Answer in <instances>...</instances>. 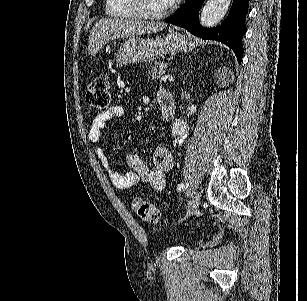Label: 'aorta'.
<instances>
[{"label": "aorta", "instance_id": "obj_1", "mask_svg": "<svg viewBox=\"0 0 307 301\" xmlns=\"http://www.w3.org/2000/svg\"><path fill=\"white\" fill-rule=\"evenodd\" d=\"M230 2L231 0H207L200 14L202 26H215V24H218L225 16ZM171 128L176 140H184L189 130L187 118H176Z\"/></svg>", "mask_w": 307, "mask_h": 301}]
</instances>
